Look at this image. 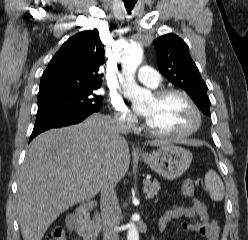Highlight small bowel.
<instances>
[{"mask_svg": "<svg viewBox=\"0 0 248 240\" xmlns=\"http://www.w3.org/2000/svg\"><path fill=\"white\" fill-rule=\"evenodd\" d=\"M186 218L181 223L184 230L201 235L207 240H218L220 227L215 220L210 219L207 207L199 200H193L191 206L174 204L158 220V228L165 232L168 224L176 219Z\"/></svg>", "mask_w": 248, "mask_h": 240, "instance_id": "small-bowel-1", "label": "small bowel"}]
</instances>
